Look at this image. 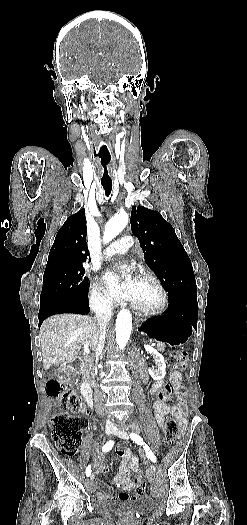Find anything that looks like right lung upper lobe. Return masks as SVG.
I'll return each mask as SVG.
<instances>
[{
	"mask_svg": "<svg viewBox=\"0 0 247 525\" xmlns=\"http://www.w3.org/2000/svg\"><path fill=\"white\" fill-rule=\"evenodd\" d=\"M85 210L71 215L59 229L51 247L45 271L82 267L89 257Z\"/></svg>",
	"mask_w": 247,
	"mask_h": 525,
	"instance_id": "right-lung-upper-lobe-1",
	"label": "right lung upper lobe"
}]
</instances>
